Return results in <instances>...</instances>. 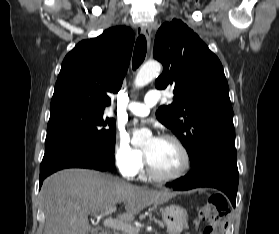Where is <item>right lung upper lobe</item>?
Instances as JSON below:
<instances>
[{
    "label": "right lung upper lobe",
    "instance_id": "1",
    "mask_svg": "<svg viewBox=\"0 0 279 234\" xmlns=\"http://www.w3.org/2000/svg\"><path fill=\"white\" fill-rule=\"evenodd\" d=\"M134 38L129 27L119 26L79 42L62 62L51 111L66 108L104 111L111 103L107 93H116L121 88Z\"/></svg>",
    "mask_w": 279,
    "mask_h": 234
}]
</instances>
